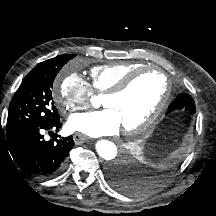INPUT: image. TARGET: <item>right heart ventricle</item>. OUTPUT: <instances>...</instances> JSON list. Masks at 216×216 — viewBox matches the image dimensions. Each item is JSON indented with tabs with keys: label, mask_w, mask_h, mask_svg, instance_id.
<instances>
[{
	"label": "right heart ventricle",
	"mask_w": 216,
	"mask_h": 216,
	"mask_svg": "<svg viewBox=\"0 0 216 216\" xmlns=\"http://www.w3.org/2000/svg\"><path fill=\"white\" fill-rule=\"evenodd\" d=\"M143 66L137 62L119 61L91 68V86L98 93H105L117 85L131 71Z\"/></svg>",
	"instance_id": "obj_1"
}]
</instances>
